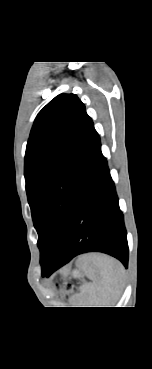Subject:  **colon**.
<instances>
[{"label": "colon", "instance_id": "1", "mask_svg": "<svg viewBox=\"0 0 152 369\" xmlns=\"http://www.w3.org/2000/svg\"><path fill=\"white\" fill-rule=\"evenodd\" d=\"M57 286H59V285H57ZM64 291H65L66 295H70L73 292V289L70 288L69 286H66L64 288Z\"/></svg>", "mask_w": 152, "mask_h": 369}]
</instances>
